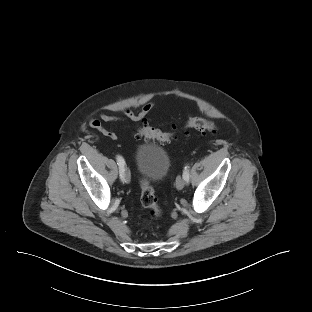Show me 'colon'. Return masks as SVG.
<instances>
[{"instance_id":"obj_1","label":"colon","mask_w":312,"mask_h":312,"mask_svg":"<svg viewBox=\"0 0 312 312\" xmlns=\"http://www.w3.org/2000/svg\"><path fill=\"white\" fill-rule=\"evenodd\" d=\"M217 128V124L214 121L206 118H192L183 127L184 130H193L202 133L215 132ZM173 129L175 131L177 130V127H174ZM136 136L149 141L164 142L171 139L173 133L144 124L137 130ZM140 199L142 205L148 210L149 220L158 219L162 216L163 211L155 196L154 189L150 182L145 178L141 180Z\"/></svg>"}]
</instances>
